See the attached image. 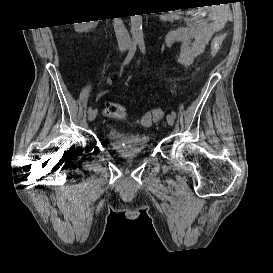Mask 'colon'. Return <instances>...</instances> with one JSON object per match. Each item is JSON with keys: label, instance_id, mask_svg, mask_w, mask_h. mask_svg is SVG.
Returning a JSON list of instances; mask_svg holds the SVG:
<instances>
[{"label": "colon", "instance_id": "5ec220e1", "mask_svg": "<svg viewBox=\"0 0 273 273\" xmlns=\"http://www.w3.org/2000/svg\"><path fill=\"white\" fill-rule=\"evenodd\" d=\"M220 52V40L216 36L211 43V55L216 57ZM104 115L113 119H123L126 117L125 107L116 102H107L104 104L103 108ZM165 115V110L161 108H155L144 114L140 120L139 124L143 127H148L154 122L161 120Z\"/></svg>", "mask_w": 273, "mask_h": 273}]
</instances>
